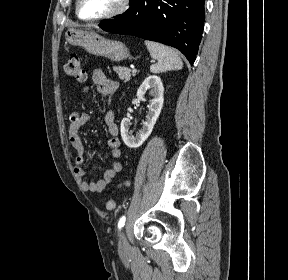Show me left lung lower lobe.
<instances>
[{
    "instance_id": "0a47b994",
    "label": "left lung lower lobe",
    "mask_w": 288,
    "mask_h": 280,
    "mask_svg": "<svg viewBox=\"0 0 288 280\" xmlns=\"http://www.w3.org/2000/svg\"><path fill=\"white\" fill-rule=\"evenodd\" d=\"M204 1L136 0L124 14L99 27L175 47L192 64L203 33Z\"/></svg>"
}]
</instances>
